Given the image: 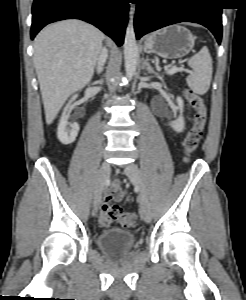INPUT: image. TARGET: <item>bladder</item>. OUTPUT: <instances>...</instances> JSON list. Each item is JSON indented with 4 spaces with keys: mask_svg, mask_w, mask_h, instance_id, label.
I'll use <instances>...</instances> for the list:
<instances>
[{
    "mask_svg": "<svg viewBox=\"0 0 246 300\" xmlns=\"http://www.w3.org/2000/svg\"><path fill=\"white\" fill-rule=\"evenodd\" d=\"M98 247L113 259H123L136 248L133 232L123 228H108L97 235Z\"/></svg>",
    "mask_w": 246,
    "mask_h": 300,
    "instance_id": "1",
    "label": "bladder"
}]
</instances>
